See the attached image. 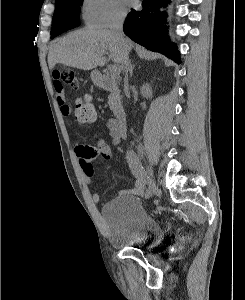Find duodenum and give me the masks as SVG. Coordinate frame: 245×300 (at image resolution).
Returning <instances> with one entry per match:
<instances>
[{"label": "duodenum", "instance_id": "410a0bca", "mask_svg": "<svg viewBox=\"0 0 245 300\" xmlns=\"http://www.w3.org/2000/svg\"><path fill=\"white\" fill-rule=\"evenodd\" d=\"M95 81L97 85L105 90L111 91L113 93L117 92V86L115 82L107 75L102 73H96L95 74ZM113 114L115 116V119L119 123L120 127L126 131L127 127V115L122 107V105L115 101L112 106Z\"/></svg>", "mask_w": 245, "mask_h": 300}]
</instances>
